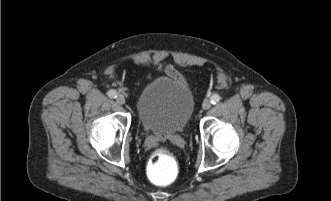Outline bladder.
Here are the masks:
<instances>
[{
	"mask_svg": "<svg viewBox=\"0 0 331 201\" xmlns=\"http://www.w3.org/2000/svg\"><path fill=\"white\" fill-rule=\"evenodd\" d=\"M191 87L168 76L157 77L140 92L138 119L146 131L160 136L181 132L194 111Z\"/></svg>",
	"mask_w": 331,
	"mask_h": 201,
	"instance_id": "31cf9c89",
	"label": "bladder"
}]
</instances>
